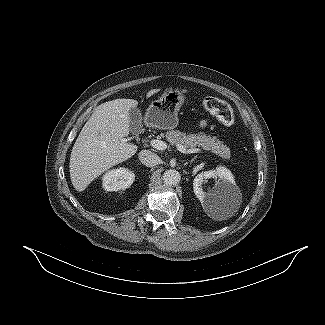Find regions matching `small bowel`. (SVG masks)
Listing matches in <instances>:
<instances>
[{
    "label": "small bowel",
    "mask_w": 325,
    "mask_h": 325,
    "mask_svg": "<svg viewBox=\"0 0 325 325\" xmlns=\"http://www.w3.org/2000/svg\"><path fill=\"white\" fill-rule=\"evenodd\" d=\"M206 124H207V121H206V120H202V121L200 122V126H201V127H205Z\"/></svg>",
    "instance_id": "1"
}]
</instances>
